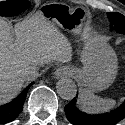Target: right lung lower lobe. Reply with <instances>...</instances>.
Masks as SVG:
<instances>
[{
    "label": "right lung lower lobe",
    "mask_w": 125,
    "mask_h": 125,
    "mask_svg": "<svg viewBox=\"0 0 125 125\" xmlns=\"http://www.w3.org/2000/svg\"><path fill=\"white\" fill-rule=\"evenodd\" d=\"M32 84L33 82L29 84L13 101L0 106V124L9 123L18 117L23 110L26 95Z\"/></svg>",
    "instance_id": "right-lung-lower-lobe-1"
}]
</instances>
